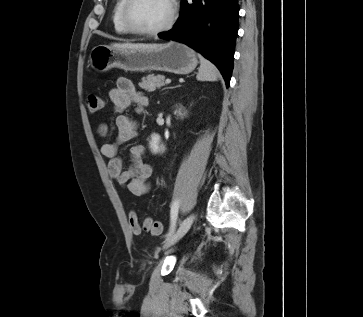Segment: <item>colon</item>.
Instances as JSON below:
<instances>
[{"mask_svg":"<svg viewBox=\"0 0 363 317\" xmlns=\"http://www.w3.org/2000/svg\"><path fill=\"white\" fill-rule=\"evenodd\" d=\"M86 105L89 112L91 114H95L102 109L103 100L95 94H90L86 99ZM128 221H129V226L134 234H138L141 232V230H144L153 235H159L161 234L163 229L161 222L153 220L151 218H145L141 226L135 211H131L129 213Z\"/></svg>","mask_w":363,"mask_h":317,"instance_id":"1","label":"colon"}]
</instances>
